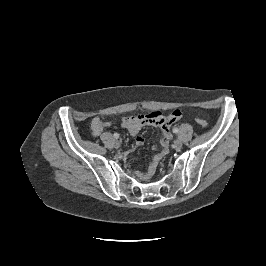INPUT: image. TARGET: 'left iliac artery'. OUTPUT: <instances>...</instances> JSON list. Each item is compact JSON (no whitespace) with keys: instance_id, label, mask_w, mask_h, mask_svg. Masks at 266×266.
<instances>
[{"instance_id":"obj_1","label":"left iliac artery","mask_w":266,"mask_h":266,"mask_svg":"<svg viewBox=\"0 0 266 266\" xmlns=\"http://www.w3.org/2000/svg\"><path fill=\"white\" fill-rule=\"evenodd\" d=\"M178 131H179L178 128H176V127L173 128V132H174V133H178Z\"/></svg>"}]
</instances>
